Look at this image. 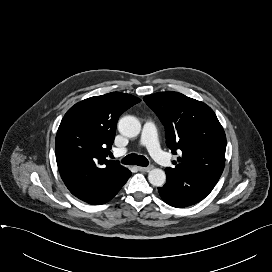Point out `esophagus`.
Listing matches in <instances>:
<instances>
[{"label": "esophagus", "mask_w": 272, "mask_h": 272, "mask_svg": "<svg viewBox=\"0 0 272 272\" xmlns=\"http://www.w3.org/2000/svg\"><path fill=\"white\" fill-rule=\"evenodd\" d=\"M151 169H153V166L138 167V170L141 171V172H149Z\"/></svg>", "instance_id": "1"}]
</instances>
